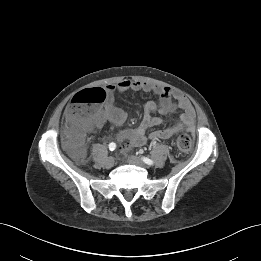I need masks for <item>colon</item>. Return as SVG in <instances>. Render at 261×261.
<instances>
[{"label": "colon", "mask_w": 261, "mask_h": 261, "mask_svg": "<svg viewBox=\"0 0 261 261\" xmlns=\"http://www.w3.org/2000/svg\"><path fill=\"white\" fill-rule=\"evenodd\" d=\"M105 99L106 94L102 88H91L76 94L67 106L66 145L77 159L83 156L81 144L90 117ZM175 145L180 154H186L191 149L192 140L188 135L182 134L177 137ZM122 148L124 152H127L129 145L124 144Z\"/></svg>", "instance_id": "5ec220e1"}]
</instances>
